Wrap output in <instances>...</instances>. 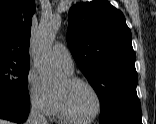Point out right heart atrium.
<instances>
[{
	"instance_id": "right-heart-atrium-1",
	"label": "right heart atrium",
	"mask_w": 156,
	"mask_h": 124,
	"mask_svg": "<svg viewBox=\"0 0 156 124\" xmlns=\"http://www.w3.org/2000/svg\"><path fill=\"white\" fill-rule=\"evenodd\" d=\"M26 91L32 109L42 116H51L53 113V92L40 80L34 69H30L26 77Z\"/></svg>"
}]
</instances>
